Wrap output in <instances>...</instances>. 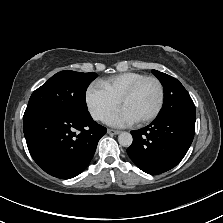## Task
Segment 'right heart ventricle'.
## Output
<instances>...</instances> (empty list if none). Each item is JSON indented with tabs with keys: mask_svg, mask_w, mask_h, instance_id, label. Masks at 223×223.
<instances>
[{
	"mask_svg": "<svg viewBox=\"0 0 223 223\" xmlns=\"http://www.w3.org/2000/svg\"><path fill=\"white\" fill-rule=\"evenodd\" d=\"M144 77L146 76L141 73L124 72L110 76L102 82L110 94L119 99L130 87Z\"/></svg>",
	"mask_w": 223,
	"mask_h": 223,
	"instance_id": "1",
	"label": "right heart ventricle"
}]
</instances>
